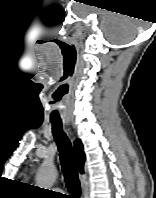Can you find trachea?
Wrapping results in <instances>:
<instances>
[{"instance_id": "trachea-1", "label": "trachea", "mask_w": 156, "mask_h": 198, "mask_svg": "<svg viewBox=\"0 0 156 198\" xmlns=\"http://www.w3.org/2000/svg\"><path fill=\"white\" fill-rule=\"evenodd\" d=\"M51 123L52 132L60 152V160L66 187L72 194V196H68L67 198H79L81 195V188L71 143L62 130V123L60 121H51Z\"/></svg>"}]
</instances>
